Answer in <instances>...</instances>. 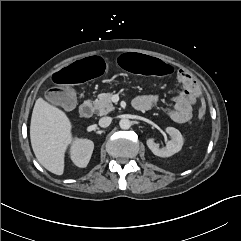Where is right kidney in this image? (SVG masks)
Returning a JSON list of instances; mask_svg holds the SVG:
<instances>
[{"label":"right kidney","instance_id":"right-kidney-1","mask_svg":"<svg viewBox=\"0 0 241 241\" xmlns=\"http://www.w3.org/2000/svg\"><path fill=\"white\" fill-rule=\"evenodd\" d=\"M94 144L88 139H75L70 149L71 160L73 163L84 168L90 161L93 153Z\"/></svg>","mask_w":241,"mask_h":241}]
</instances>
